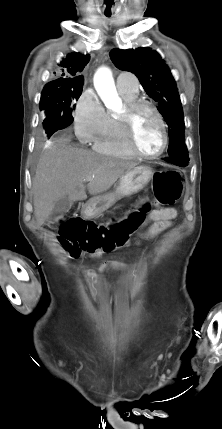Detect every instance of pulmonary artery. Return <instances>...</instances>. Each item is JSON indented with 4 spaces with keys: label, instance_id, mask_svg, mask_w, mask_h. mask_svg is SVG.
<instances>
[{
    "label": "pulmonary artery",
    "instance_id": "1",
    "mask_svg": "<svg viewBox=\"0 0 222 429\" xmlns=\"http://www.w3.org/2000/svg\"><path fill=\"white\" fill-rule=\"evenodd\" d=\"M117 88L120 92L137 93L138 82L130 73H121L117 77Z\"/></svg>",
    "mask_w": 222,
    "mask_h": 429
}]
</instances>
